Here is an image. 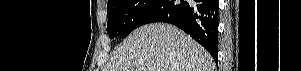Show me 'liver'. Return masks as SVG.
Returning a JSON list of instances; mask_svg holds the SVG:
<instances>
[{
	"mask_svg": "<svg viewBox=\"0 0 301 71\" xmlns=\"http://www.w3.org/2000/svg\"><path fill=\"white\" fill-rule=\"evenodd\" d=\"M210 54L170 24H148L134 30L113 51L102 71H213Z\"/></svg>",
	"mask_w": 301,
	"mask_h": 71,
	"instance_id": "obj_1",
	"label": "liver"
}]
</instances>
